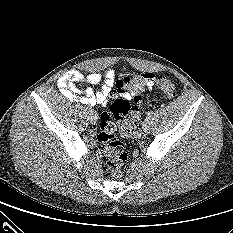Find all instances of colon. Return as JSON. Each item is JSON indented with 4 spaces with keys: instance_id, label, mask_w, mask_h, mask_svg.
Instances as JSON below:
<instances>
[{
    "instance_id": "obj_1",
    "label": "colon",
    "mask_w": 233,
    "mask_h": 233,
    "mask_svg": "<svg viewBox=\"0 0 233 233\" xmlns=\"http://www.w3.org/2000/svg\"><path fill=\"white\" fill-rule=\"evenodd\" d=\"M143 84L144 80L141 76L131 77L128 82V89L133 94V104H130L125 98L115 99L108 111L104 112L101 117V130L98 135V141L100 142L102 152L107 157V167L112 178H119L122 175V166L127 159L124 145L114 134L112 119L117 120L119 130L124 137H135L138 135ZM156 85L167 98L175 97L177 86L169 77L164 75L158 76Z\"/></svg>"
}]
</instances>
